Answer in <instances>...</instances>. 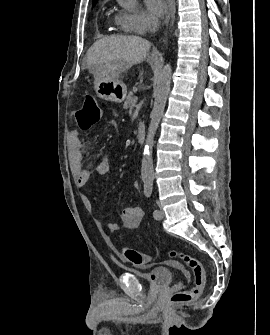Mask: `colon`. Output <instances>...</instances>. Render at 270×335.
<instances>
[{
  "mask_svg": "<svg viewBox=\"0 0 270 335\" xmlns=\"http://www.w3.org/2000/svg\"><path fill=\"white\" fill-rule=\"evenodd\" d=\"M75 116L78 117L79 127L83 132H87L94 127L100 121L102 116V109L96 97L86 95L81 109L75 111ZM119 254H121L127 262L138 267L148 265L151 260V257L148 254L138 253L128 247L121 248ZM177 254L183 264L190 270L193 285L187 291L173 294L170 297L172 304L187 303L200 297L204 290L206 279L204 267L197 257L184 251L178 253L172 252L173 256Z\"/></svg>",
  "mask_w": 270,
  "mask_h": 335,
  "instance_id": "1",
  "label": "colon"
}]
</instances>
